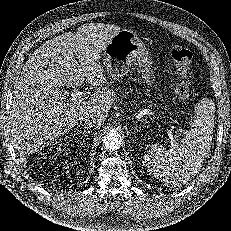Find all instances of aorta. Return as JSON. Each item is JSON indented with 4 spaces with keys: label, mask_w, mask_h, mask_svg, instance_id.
Returning <instances> with one entry per match:
<instances>
[{
    "label": "aorta",
    "mask_w": 231,
    "mask_h": 231,
    "mask_svg": "<svg viewBox=\"0 0 231 231\" xmlns=\"http://www.w3.org/2000/svg\"><path fill=\"white\" fill-rule=\"evenodd\" d=\"M122 144V137L118 132H109L103 138V147L107 151H115L120 148Z\"/></svg>",
    "instance_id": "762f6f07"
}]
</instances>
